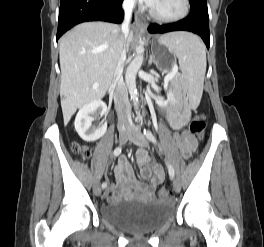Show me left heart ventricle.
<instances>
[{
  "mask_svg": "<svg viewBox=\"0 0 264 247\" xmlns=\"http://www.w3.org/2000/svg\"><path fill=\"white\" fill-rule=\"evenodd\" d=\"M153 8L159 15L172 16L182 10V3L181 0H158Z\"/></svg>",
  "mask_w": 264,
  "mask_h": 247,
  "instance_id": "1",
  "label": "left heart ventricle"
}]
</instances>
